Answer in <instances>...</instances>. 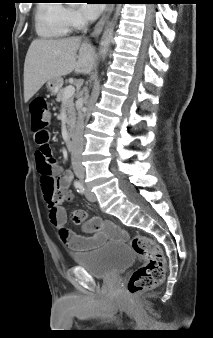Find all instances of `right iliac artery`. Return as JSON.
Masks as SVG:
<instances>
[{"label": "right iliac artery", "mask_w": 213, "mask_h": 338, "mask_svg": "<svg viewBox=\"0 0 213 338\" xmlns=\"http://www.w3.org/2000/svg\"><path fill=\"white\" fill-rule=\"evenodd\" d=\"M74 186H75V189L77 190V192H79V193H81V194L84 193L85 189H84V187H83V185H82L81 182L76 181V182L74 183Z\"/></svg>", "instance_id": "1"}]
</instances>
